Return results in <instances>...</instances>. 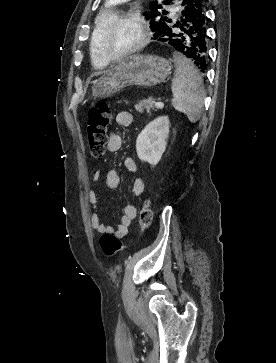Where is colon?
I'll return each mask as SVG.
<instances>
[{"mask_svg": "<svg viewBox=\"0 0 276 363\" xmlns=\"http://www.w3.org/2000/svg\"><path fill=\"white\" fill-rule=\"evenodd\" d=\"M112 112L104 101L98 102L88 112L87 134L90 153L94 158L100 159L105 155L107 129L111 124ZM141 227L147 231L153 219L150 203L145 201L139 211ZM104 254L110 256L122 249L121 241L112 234H104L100 240Z\"/></svg>", "mask_w": 276, "mask_h": 363, "instance_id": "5ec220e1", "label": "colon"}]
</instances>
